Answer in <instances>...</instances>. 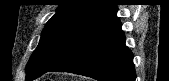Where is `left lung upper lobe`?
Returning <instances> with one entry per match:
<instances>
[{
  "label": "left lung upper lobe",
  "mask_w": 169,
  "mask_h": 81,
  "mask_svg": "<svg viewBox=\"0 0 169 81\" xmlns=\"http://www.w3.org/2000/svg\"><path fill=\"white\" fill-rule=\"evenodd\" d=\"M112 0H63L44 27L39 44L26 66V81L46 73L73 39L114 6Z\"/></svg>",
  "instance_id": "1"
}]
</instances>
